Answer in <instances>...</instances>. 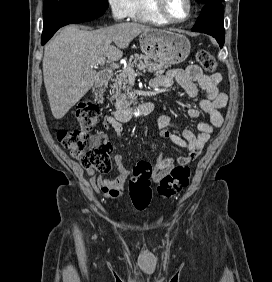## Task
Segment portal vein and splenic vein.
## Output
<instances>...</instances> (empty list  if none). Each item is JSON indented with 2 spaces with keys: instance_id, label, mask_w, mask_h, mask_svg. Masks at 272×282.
<instances>
[{
  "instance_id": "portal-vein-and-splenic-vein-1",
  "label": "portal vein and splenic vein",
  "mask_w": 272,
  "mask_h": 282,
  "mask_svg": "<svg viewBox=\"0 0 272 282\" xmlns=\"http://www.w3.org/2000/svg\"><path fill=\"white\" fill-rule=\"evenodd\" d=\"M97 65H104L105 64V58H101L99 60H97L96 62ZM127 72H128V75H134L135 72L132 68H127Z\"/></svg>"
}]
</instances>
